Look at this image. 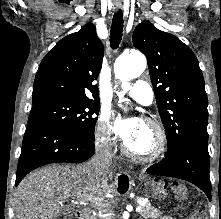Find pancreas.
Wrapping results in <instances>:
<instances>
[{
  "instance_id": "obj_1",
  "label": "pancreas",
  "mask_w": 221,
  "mask_h": 219,
  "mask_svg": "<svg viewBox=\"0 0 221 219\" xmlns=\"http://www.w3.org/2000/svg\"><path fill=\"white\" fill-rule=\"evenodd\" d=\"M142 197H137L135 201L139 204L138 207H140V210L138 213L141 217L145 219H157L162 215V212L160 210H157L156 208L152 207L150 203L140 204V201L142 200ZM91 219H97L95 217Z\"/></svg>"
}]
</instances>
